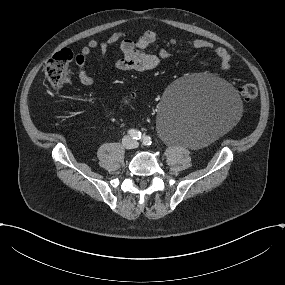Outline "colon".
I'll return each mask as SVG.
<instances>
[{"mask_svg":"<svg viewBox=\"0 0 285 285\" xmlns=\"http://www.w3.org/2000/svg\"><path fill=\"white\" fill-rule=\"evenodd\" d=\"M73 54L68 49H62L55 53L46 63L45 75L53 86L64 84L70 74V63ZM241 96L247 102H253L258 97V88L253 83H245L240 89ZM127 99H124L126 102Z\"/></svg>","mask_w":285,"mask_h":285,"instance_id":"5ec220e1","label":"colon"}]
</instances>
